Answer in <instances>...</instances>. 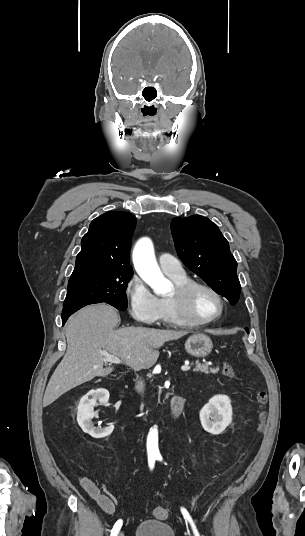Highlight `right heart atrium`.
Returning a JSON list of instances; mask_svg holds the SVG:
<instances>
[{"label":"right heart atrium","instance_id":"d8ad5b80","mask_svg":"<svg viewBox=\"0 0 305 536\" xmlns=\"http://www.w3.org/2000/svg\"><path fill=\"white\" fill-rule=\"evenodd\" d=\"M126 299L131 316L142 323L154 324L160 318L162 305L145 283L133 276L126 286Z\"/></svg>","mask_w":305,"mask_h":536}]
</instances>
